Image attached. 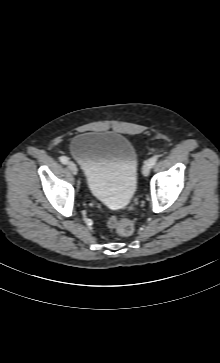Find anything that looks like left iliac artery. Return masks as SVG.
I'll list each match as a JSON object with an SVG mask.
<instances>
[{
	"label": "left iliac artery",
	"mask_w": 220,
	"mask_h": 363,
	"mask_svg": "<svg viewBox=\"0 0 220 363\" xmlns=\"http://www.w3.org/2000/svg\"><path fill=\"white\" fill-rule=\"evenodd\" d=\"M158 157H159L158 155H155L148 160L150 167H153L156 164Z\"/></svg>",
	"instance_id": "44dca946"
}]
</instances>
